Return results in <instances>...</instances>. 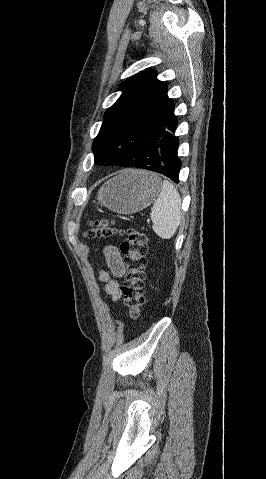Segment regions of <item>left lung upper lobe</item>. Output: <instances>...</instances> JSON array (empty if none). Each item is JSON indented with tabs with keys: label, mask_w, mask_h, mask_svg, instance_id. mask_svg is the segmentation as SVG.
Listing matches in <instances>:
<instances>
[{
	"label": "left lung upper lobe",
	"mask_w": 266,
	"mask_h": 479,
	"mask_svg": "<svg viewBox=\"0 0 266 479\" xmlns=\"http://www.w3.org/2000/svg\"><path fill=\"white\" fill-rule=\"evenodd\" d=\"M155 70H146L119 85V99L105 115L92 150L99 165L134 166L153 160L173 101Z\"/></svg>",
	"instance_id": "1"
}]
</instances>
